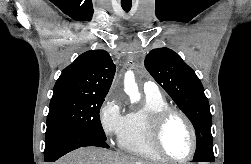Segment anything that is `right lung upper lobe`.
Instances as JSON below:
<instances>
[{
	"label": "right lung upper lobe",
	"instance_id": "1",
	"mask_svg": "<svg viewBox=\"0 0 251 164\" xmlns=\"http://www.w3.org/2000/svg\"><path fill=\"white\" fill-rule=\"evenodd\" d=\"M115 70L116 66L107 51H87L62 71L53 92L106 96Z\"/></svg>",
	"mask_w": 251,
	"mask_h": 164
}]
</instances>
